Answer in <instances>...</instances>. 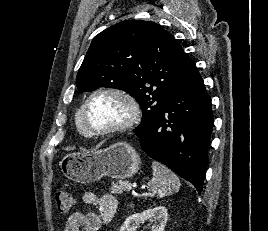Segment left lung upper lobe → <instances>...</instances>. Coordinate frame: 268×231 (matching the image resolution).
I'll return each instance as SVG.
<instances>
[{
  "label": "left lung upper lobe",
  "mask_w": 268,
  "mask_h": 231,
  "mask_svg": "<svg viewBox=\"0 0 268 231\" xmlns=\"http://www.w3.org/2000/svg\"><path fill=\"white\" fill-rule=\"evenodd\" d=\"M194 68L193 60L162 26L125 20L92 40L76 86L79 92L99 86L124 90L142 109V121L133 131L145 132L156 122L172 89Z\"/></svg>",
  "instance_id": "1"
}]
</instances>
